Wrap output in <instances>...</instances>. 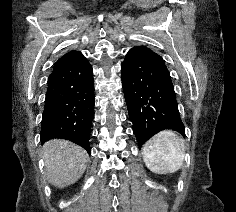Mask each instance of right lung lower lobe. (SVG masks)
I'll return each mask as SVG.
<instances>
[{"instance_id": "obj_1", "label": "right lung lower lobe", "mask_w": 236, "mask_h": 212, "mask_svg": "<svg viewBox=\"0 0 236 212\" xmlns=\"http://www.w3.org/2000/svg\"><path fill=\"white\" fill-rule=\"evenodd\" d=\"M93 70L79 51L59 58L47 82L41 122L42 143L52 138L70 140L90 153L94 117Z\"/></svg>"}]
</instances>
